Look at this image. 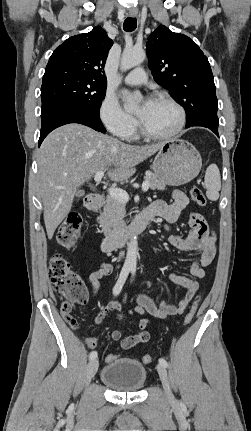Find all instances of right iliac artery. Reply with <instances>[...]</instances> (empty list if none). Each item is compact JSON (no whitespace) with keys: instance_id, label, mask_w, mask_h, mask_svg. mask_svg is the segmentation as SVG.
Returning <instances> with one entry per match:
<instances>
[{"instance_id":"82829eb1","label":"right iliac artery","mask_w":251,"mask_h":431,"mask_svg":"<svg viewBox=\"0 0 251 431\" xmlns=\"http://www.w3.org/2000/svg\"><path fill=\"white\" fill-rule=\"evenodd\" d=\"M129 272H130V268L129 267H125L124 266L122 268L121 273L119 275V278H118V280H117V282H116V284H115V286L113 288V295L114 296H117L121 292L122 287H123V285H124V283H125L128 275H129ZM96 357H97V352L96 351H92L90 353V355H89V358L91 360L95 359Z\"/></svg>"}]
</instances>
